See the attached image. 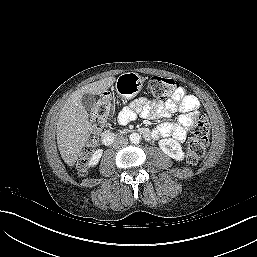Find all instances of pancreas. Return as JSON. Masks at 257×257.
I'll return each mask as SVG.
<instances>
[{"instance_id": "obj_1", "label": "pancreas", "mask_w": 257, "mask_h": 257, "mask_svg": "<svg viewBox=\"0 0 257 257\" xmlns=\"http://www.w3.org/2000/svg\"><path fill=\"white\" fill-rule=\"evenodd\" d=\"M128 131V129H124L123 131H122V133H125V132H127Z\"/></svg>"}]
</instances>
